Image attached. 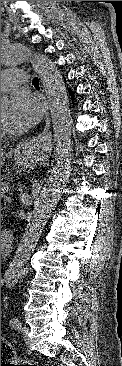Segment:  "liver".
<instances>
[{
    "label": "liver",
    "mask_w": 122,
    "mask_h": 366,
    "mask_svg": "<svg viewBox=\"0 0 122 366\" xmlns=\"http://www.w3.org/2000/svg\"><path fill=\"white\" fill-rule=\"evenodd\" d=\"M5 152L3 150H1V168L4 165V161H5Z\"/></svg>",
    "instance_id": "liver-1"
}]
</instances>
